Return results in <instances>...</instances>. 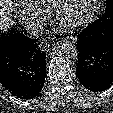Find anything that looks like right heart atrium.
Here are the masks:
<instances>
[{"label":"right heart atrium","instance_id":"obj_1","mask_svg":"<svg viewBox=\"0 0 113 113\" xmlns=\"http://www.w3.org/2000/svg\"><path fill=\"white\" fill-rule=\"evenodd\" d=\"M20 17L25 26L31 31L39 29L44 22L43 14L28 6H24L20 9Z\"/></svg>","mask_w":113,"mask_h":113}]
</instances>
